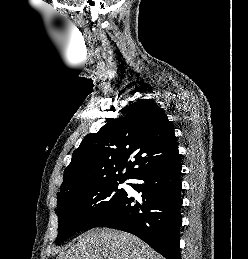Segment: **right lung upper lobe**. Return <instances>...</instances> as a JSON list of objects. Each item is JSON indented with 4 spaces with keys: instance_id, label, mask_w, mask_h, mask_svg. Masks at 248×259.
<instances>
[{
    "instance_id": "obj_1",
    "label": "right lung upper lobe",
    "mask_w": 248,
    "mask_h": 259,
    "mask_svg": "<svg viewBox=\"0 0 248 259\" xmlns=\"http://www.w3.org/2000/svg\"><path fill=\"white\" fill-rule=\"evenodd\" d=\"M120 111L122 117L88 134L73 152L58 200L79 186L132 179L140 171L179 154L174 128L155 102L141 99Z\"/></svg>"
}]
</instances>
